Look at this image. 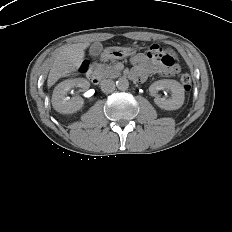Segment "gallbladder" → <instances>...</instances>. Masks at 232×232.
I'll use <instances>...</instances> for the list:
<instances>
[{
    "label": "gallbladder",
    "mask_w": 232,
    "mask_h": 232,
    "mask_svg": "<svg viewBox=\"0 0 232 232\" xmlns=\"http://www.w3.org/2000/svg\"><path fill=\"white\" fill-rule=\"evenodd\" d=\"M102 49L103 47L100 43H94L89 49V55L92 57H97L101 53Z\"/></svg>",
    "instance_id": "bac80fb5"
}]
</instances>
